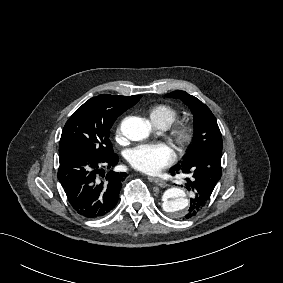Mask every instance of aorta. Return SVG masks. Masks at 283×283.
I'll return each mask as SVG.
<instances>
[{"label":"aorta","instance_id":"aorta-1","mask_svg":"<svg viewBox=\"0 0 283 283\" xmlns=\"http://www.w3.org/2000/svg\"><path fill=\"white\" fill-rule=\"evenodd\" d=\"M121 132L132 141H140L149 136L151 124L143 118L127 117L121 123ZM188 207L189 200L183 189L173 187L164 192L162 208L171 217H182L187 212Z\"/></svg>","mask_w":283,"mask_h":283}]
</instances>
